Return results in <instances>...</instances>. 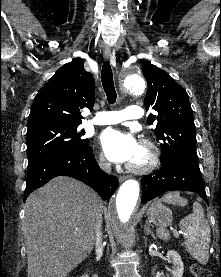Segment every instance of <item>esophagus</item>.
Segmentation results:
<instances>
[{"instance_id": "obj_1", "label": "esophagus", "mask_w": 221, "mask_h": 277, "mask_svg": "<svg viewBox=\"0 0 221 277\" xmlns=\"http://www.w3.org/2000/svg\"><path fill=\"white\" fill-rule=\"evenodd\" d=\"M103 56H104L105 60H109L111 58V50L110 49H105ZM127 178H128V176L122 175V176H119L118 179H119L120 182H123Z\"/></svg>"}]
</instances>
